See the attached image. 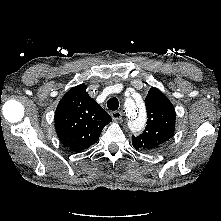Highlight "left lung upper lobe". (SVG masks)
Masks as SVG:
<instances>
[{
	"label": "left lung upper lobe",
	"instance_id": "obj_1",
	"mask_svg": "<svg viewBox=\"0 0 221 221\" xmlns=\"http://www.w3.org/2000/svg\"><path fill=\"white\" fill-rule=\"evenodd\" d=\"M145 105L147 126L141 135H132V144L136 150L153 153L174 136L176 113L172 103L154 87L149 90Z\"/></svg>",
	"mask_w": 221,
	"mask_h": 221
}]
</instances>
